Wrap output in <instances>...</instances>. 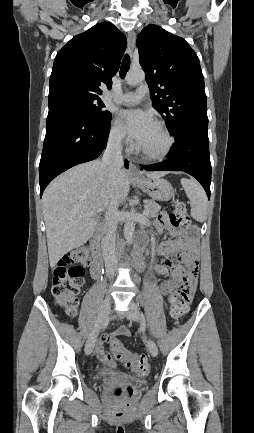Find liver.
Segmentation results:
<instances>
[{"label":"liver","mask_w":254,"mask_h":433,"mask_svg":"<svg viewBox=\"0 0 254 433\" xmlns=\"http://www.w3.org/2000/svg\"><path fill=\"white\" fill-rule=\"evenodd\" d=\"M166 174L146 173L149 178ZM129 190L128 173L121 169L113 176L100 160L77 165L55 179L43 195L50 266L86 243L99 223L98 215L112 202H124Z\"/></svg>","instance_id":"6515ba94"}]
</instances>
